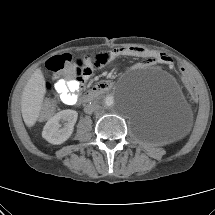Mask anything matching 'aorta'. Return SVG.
<instances>
[{
  "label": "aorta",
  "instance_id": "aorta-1",
  "mask_svg": "<svg viewBox=\"0 0 215 215\" xmlns=\"http://www.w3.org/2000/svg\"><path fill=\"white\" fill-rule=\"evenodd\" d=\"M118 99L113 94H105L96 101L97 107L101 110H110L117 107Z\"/></svg>",
  "mask_w": 215,
  "mask_h": 215
}]
</instances>
